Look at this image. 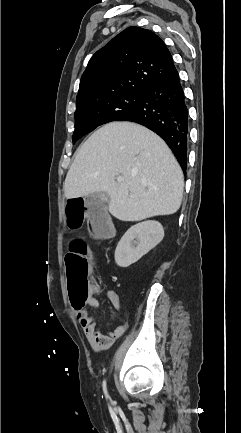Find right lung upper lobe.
Returning <instances> with one entry per match:
<instances>
[{
	"mask_svg": "<svg viewBox=\"0 0 241 433\" xmlns=\"http://www.w3.org/2000/svg\"><path fill=\"white\" fill-rule=\"evenodd\" d=\"M176 71L164 42L148 29L129 27L97 51L84 71L76 104L140 91Z\"/></svg>",
	"mask_w": 241,
	"mask_h": 433,
	"instance_id": "cb5924a9",
	"label": "right lung upper lobe"
}]
</instances>
